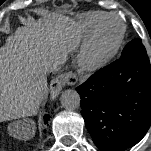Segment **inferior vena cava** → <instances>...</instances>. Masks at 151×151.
I'll use <instances>...</instances> for the list:
<instances>
[{
	"label": "inferior vena cava",
	"mask_w": 151,
	"mask_h": 151,
	"mask_svg": "<svg viewBox=\"0 0 151 151\" xmlns=\"http://www.w3.org/2000/svg\"><path fill=\"white\" fill-rule=\"evenodd\" d=\"M59 69V63L58 62H54L52 64H50L47 68V70L49 72H54V71H57Z\"/></svg>",
	"instance_id": "inferior-vena-cava-1"
}]
</instances>
